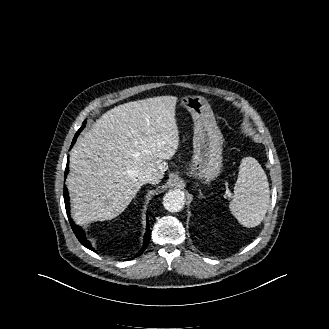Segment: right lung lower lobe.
Here are the masks:
<instances>
[{
    "label": "right lung lower lobe",
    "instance_id": "1",
    "mask_svg": "<svg viewBox=\"0 0 329 329\" xmlns=\"http://www.w3.org/2000/svg\"><path fill=\"white\" fill-rule=\"evenodd\" d=\"M75 140H76V138H75ZM68 163H69V158H67V165H66V168H65V177L68 174V169H69ZM64 202H65V208H66V211H67L69 222L71 224L72 230L74 231L76 237L78 238V240L80 241V243L83 246H85L86 248L94 251V248L91 246L90 242L86 239V236H85L84 231L82 230V228L77 226L76 224H74L72 219L70 218L69 197H68L67 188L65 186H64ZM149 241H150V229H149V222H148V218H147V231H146V234H145V237H144V244H143V247H142L141 251L135 257H137V256H139L143 253V251L146 249L147 245L149 244Z\"/></svg>",
    "mask_w": 329,
    "mask_h": 329
}]
</instances>
